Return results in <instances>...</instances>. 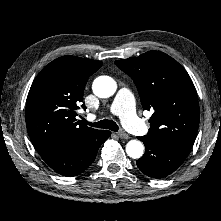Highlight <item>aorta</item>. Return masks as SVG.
<instances>
[{"instance_id":"obj_1","label":"aorta","mask_w":221,"mask_h":221,"mask_svg":"<svg viewBox=\"0 0 221 221\" xmlns=\"http://www.w3.org/2000/svg\"><path fill=\"white\" fill-rule=\"evenodd\" d=\"M92 89L99 98H108L116 92L117 84L109 76H100L94 80ZM126 153L129 157L138 159L144 153V146L138 140H131L126 145Z\"/></svg>"}]
</instances>
